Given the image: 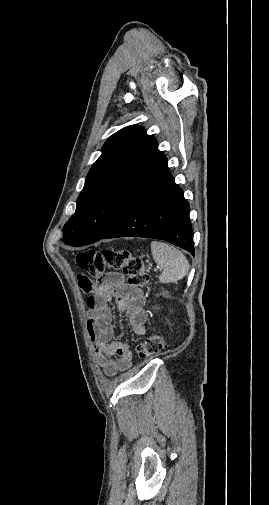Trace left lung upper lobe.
<instances>
[{
  "label": "left lung upper lobe",
  "instance_id": "left-lung-upper-lobe-1",
  "mask_svg": "<svg viewBox=\"0 0 269 505\" xmlns=\"http://www.w3.org/2000/svg\"><path fill=\"white\" fill-rule=\"evenodd\" d=\"M156 143L137 125L119 130L105 142L77 199L76 211L63 227L66 244L88 245L109 232L130 200Z\"/></svg>",
  "mask_w": 269,
  "mask_h": 505
}]
</instances>
